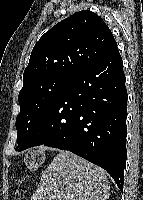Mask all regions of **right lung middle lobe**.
Returning <instances> with one entry per match:
<instances>
[{
  "label": "right lung middle lobe",
  "instance_id": "1",
  "mask_svg": "<svg viewBox=\"0 0 143 200\" xmlns=\"http://www.w3.org/2000/svg\"><path fill=\"white\" fill-rule=\"evenodd\" d=\"M71 76L52 75L24 86L18 96L20 113L16 118L17 143L23 145L37 121L61 93Z\"/></svg>",
  "mask_w": 143,
  "mask_h": 200
}]
</instances>
